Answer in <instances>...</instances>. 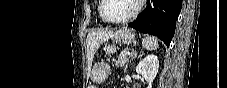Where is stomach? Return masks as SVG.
I'll return each instance as SVG.
<instances>
[{
    "label": "stomach",
    "mask_w": 227,
    "mask_h": 88,
    "mask_svg": "<svg viewBox=\"0 0 227 88\" xmlns=\"http://www.w3.org/2000/svg\"><path fill=\"white\" fill-rule=\"evenodd\" d=\"M113 45H109L108 52L115 53L116 46L115 45H122V44H131L135 40V31L129 28H122L113 34L111 37ZM110 72L109 65L101 62L94 64L91 72V80L95 83H102L104 82Z\"/></svg>",
    "instance_id": "stomach-1"
}]
</instances>
